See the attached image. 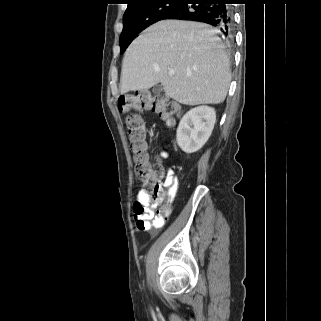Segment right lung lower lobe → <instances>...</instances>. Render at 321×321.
<instances>
[{
    "instance_id": "obj_1",
    "label": "right lung lower lobe",
    "mask_w": 321,
    "mask_h": 321,
    "mask_svg": "<svg viewBox=\"0 0 321 321\" xmlns=\"http://www.w3.org/2000/svg\"><path fill=\"white\" fill-rule=\"evenodd\" d=\"M232 0H181L180 4L165 13L163 19L192 20L217 27L226 37L232 33Z\"/></svg>"
}]
</instances>
